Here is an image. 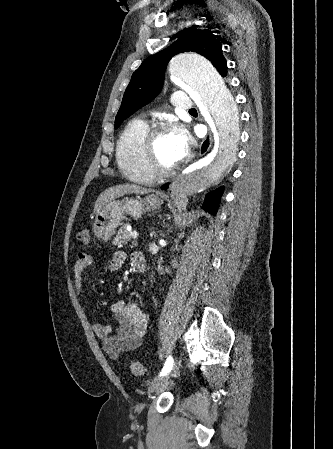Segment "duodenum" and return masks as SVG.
<instances>
[{
	"instance_id": "duodenum-1",
	"label": "duodenum",
	"mask_w": 333,
	"mask_h": 449,
	"mask_svg": "<svg viewBox=\"0 0 333 449\" xmlns=\"http://www.w3.org/2000/svg\"><path fill=\"white\" fill-rule=\"evenodd\" d=\"M132 263L137 271L144 272L146 270V259L142 253H134L132 255Z\"/></svg>"
}]
</instances>
